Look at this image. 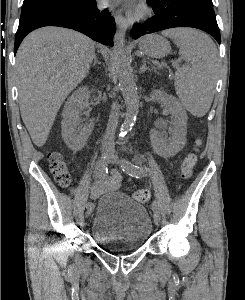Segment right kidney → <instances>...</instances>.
I'll list each match as a JSON object with an SVG mask.
<instances>
[{
	"label": "right kidney",
	"instance_id": "right-kidney-1",
	"mask_svg": "<svg viewBox=\"0 0 245 300\" xmlns=\"http://www.w3.org/2000/svg\"><path fill=\"white\" fill-rule=\"evenodd\" d=\"M90 90L80 87L69 97L62 113V137L73 151L81 150L93 130V122L83 123L81 115L89 106Z\"/></svg>",
	"mask_w": 245,
	"mask_h": 300
}]
</instances>
